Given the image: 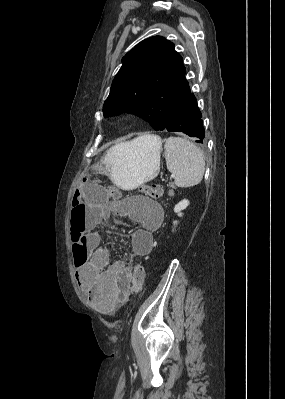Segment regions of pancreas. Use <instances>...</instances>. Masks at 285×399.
Masks as SVG:
<instances>
[{
  "label": "pancreas",
  "mask_w": 285,
  "mask_h": 399,
  "mask_svg": "<svg viewBox=\"0 0 285 399\" xmlns=\"http://www.w3.org/2000/svg\"><path fill=\"white\" fill-rule=\"evenodd\" d=\"M168 186L174 188V184L172 182H169Z\"/></svg>",
  "instance_id": "1"
}]
</instances>
